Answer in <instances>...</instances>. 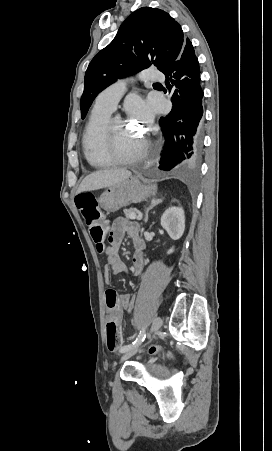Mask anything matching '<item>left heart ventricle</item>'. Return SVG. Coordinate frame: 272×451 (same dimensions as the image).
Wrapping results in <instances>:
<instances>
[{"label": "left heart ventricle", "mask_w": 272, "mask_h": 451, "mask_svg": "<svg viewBox=\"0 0 272 451\" xmlns=\"http://www.w3.org/2000/svg\"><path fill=\"white\" fill-rule=\"evenodd\" d=\"M126 125V122L120 118L115 119L112 123L115 144L122 152L128 151L136 141L135 134L128 130Z\"/></svg>", "instance_id": "b2bd125f"}]
</instances>
